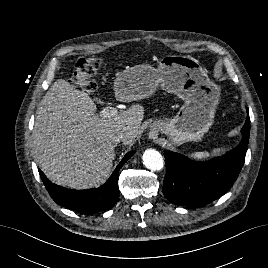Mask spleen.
<instances>
[{
	"mask_svg": "<svg viewBox=\"0 0 268 268\" xmlns=\"http://www.w3.org/2000/svg\"><path fill=\"white\" fill-rule=\"evenodd\" d=\"M188 156H190L193 159L203 160V159H207L208 157H210V153L206 151L194 152V153L188 154Z\"/></svg>",
	"mask_w": 268,
	"mask_h": 268,
	"instance_id": "1",
	"label": "spleen"
}]
</instances>
